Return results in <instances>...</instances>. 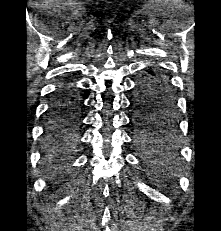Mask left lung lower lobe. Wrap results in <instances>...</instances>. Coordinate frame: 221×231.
<instances>
[{"mask_svg": "<svg viewBox=\"0 0 221 231\" xmlns=\"http://www.w3.org/2000/svg\"><path fill=\"white\" fill-rule=\"evenodd\" d=\"M154 73L155 71L152 69L142 73L137 82L136 94L139 93L140 88L152 89L156 86L164 85L161 82L157 81V79L153 76ZM165 89L171 90V88L169 87H165ZM170 95L174 98L172 91H170ZM148 102V104H150L152 107H156L157 104H161L160 100L157 97L150 98ZM174 125L175 121L169 124V128H173ZM142 144L148 152L160 157H167L171 155L176 149V144L171 137V134L168 132L157 133L142 142Z\"/></svg>", "mask_w": 221, "mask_h": 231, "instance_id": "1", "label": "left lung lower lobe"}]
</instances>
